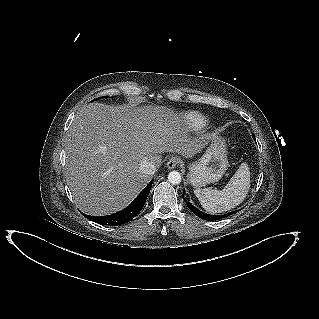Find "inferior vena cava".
I'll return each mask as SVG.
<instances>
[{"label":"inferior vena cava","instance_id":"602c4592","mask_svg":"<svg viewBox=\"0 0 319 319\" xmlns=\"http://www.w3.org/2000/svg\"><path fill=\"white\" fill-rule=\"evenodd\" d=\"M140 170L144 174L153 175L156 172V164L149 158H144L140 163Z\"/></svg>","mask_w":319,"mask_h":319}]
</instances>
